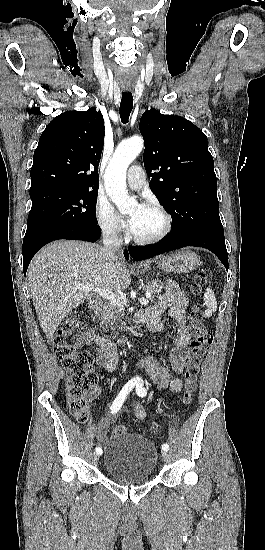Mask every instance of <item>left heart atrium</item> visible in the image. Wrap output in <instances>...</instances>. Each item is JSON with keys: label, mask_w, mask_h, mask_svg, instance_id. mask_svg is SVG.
Masks as SVG:
<instances>
[{"label": "left heart atrium", "mask_w": 265, "mask_h": 550, "mask_svg": "<svg viewBox=\"0 0 265 550\" xmlns=\"http://www.w3.org/2000/svg\"><path fill=\"white\" fill-rule=\"evenodd\" d=\"M144 207H145L144 205H139V206H138V210L140 211V210H142ZM134 222H135V217H130V218H129V225H130V228L133 227Z\"/></svg>", "instance_id": "left-heart-atrium-1"}]
</instances>
